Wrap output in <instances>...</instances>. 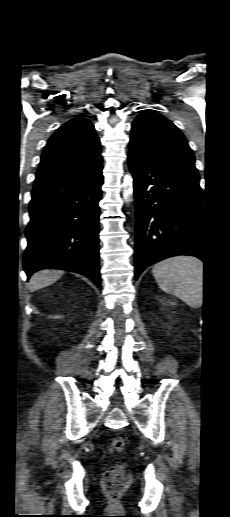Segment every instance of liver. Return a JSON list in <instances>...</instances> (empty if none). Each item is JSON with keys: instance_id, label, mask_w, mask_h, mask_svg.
<instances>
[{"instance_id": "6515ba94", "label": "liver", "mask_w": 230, "mask_h": 517, "mask_svg": "<svg viewBox=\"0 0 230 517\" xmlns=\"http://www.w3.org/2000/svg\"><path fill=\"white\" fill-rule=\"evenodd\" d=\"M64 274L63 271L55 269H45L35 273L29 280V289L36 291L55 283Z\"/></svg>"}]
</instances>
